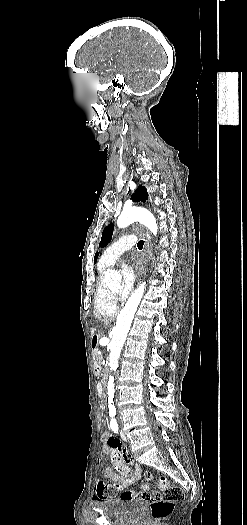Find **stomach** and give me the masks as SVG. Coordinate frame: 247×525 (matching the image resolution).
Listing matches in <instances>:
<instances>
[{"mask_svg":"<svg viewBox=\"0 0 247 525\" xmlns=\"http://www.w3.org/2000/svg\"><path fill=\"white\" fill-rule=\"evenodd\" d=\"M96 340H97V338H96V336H94V337H93V344L96 343Z\"/></svg>","mask_w":247,"mask_h":525,"instance_id":"1","label":"stomach"}]
</instances>
